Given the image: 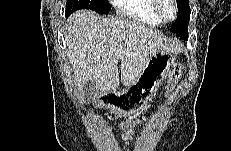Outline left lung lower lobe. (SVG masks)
<instances>
[{
    "label": "left lung lower lobe",
    "mask_w": 231,
    "mask_h": 151,
    "mask_svg": "<svg viewBox=\"0 0 231 151\" xmlns=\"http://www.w3.org/2000/svg\"><path fill=\"white\" fill-rule=\"evenodd\" d=\"M182 39L187 40V39H188V36H187V37H184V38H182Z\"/></svg>",
    "instance_id": "0a47b994"
}]
</instances>
